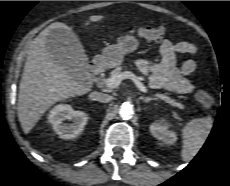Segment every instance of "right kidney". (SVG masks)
<instances>
[{
  "instance_id": "right-kidney-1",
  "label": "right kidney",
  "mask_w": 230,
  "mask_h": 186,
  "mask_svg": "<svg viewBox=\"0 0 230 186\" xmlns=\"http://www.w3.org/2000/svg\"><path fill=\"white\" fill-rule=\"evenodd\" d=\"M65 120H70L72 123H64ZM87 121L86 113L74 111L70 105L64 104L55 106L48 115V122L62 139L77 137L83 131Z\"/></svg>"
}]
</instances>
